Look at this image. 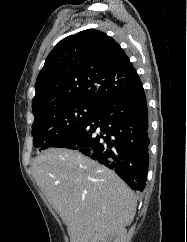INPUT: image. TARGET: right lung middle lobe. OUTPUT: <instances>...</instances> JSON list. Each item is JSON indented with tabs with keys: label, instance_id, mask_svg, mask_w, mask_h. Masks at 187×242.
I'll return each instance as SVG.
<instances>
[{
	"label": "right lung middle lobe",
	"instance_id": "right-lung-middle-lobe-1",
	"mask_svg": "<svg viewBox=\"0 0 187 242\" xmlns=\"http://www.w3.org/2000/svg\"><path fill=\"white\" fill-rule=\"evenodd\" d=\"M98 107L86 102H72L35 116L32 125L34 146L39 150L49 148L89 119Z\"/></svg>",
	"mask_w": 187,
	"mask_h": 242
}]
</instances>
